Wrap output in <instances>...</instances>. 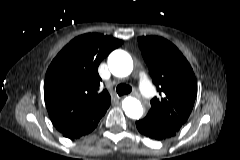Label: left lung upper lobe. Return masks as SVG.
<instances>
[{"label": "left lung upper lobe", "instance_id": "1", "mask_svg": "<svg viewBox=\"0 0 240 160\" xmlns=\"http://www.w3.org/2000/svg\"><path fill=\"white\" fill-rule=\"evenodd\" d=\"M138 44L160 95L151 100L149 113L177 132L187 121L197 96L193 69L178 48L162 37H139Z\"/></svg>", "mask_w": 240, "mask_h": 160}]
</instances>
